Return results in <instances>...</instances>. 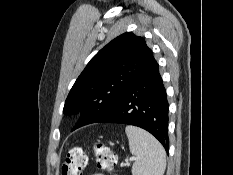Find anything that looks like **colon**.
<instances>
[{"label": "colon", "instance_id": "colon-1", "mask_svg": "<svg viewBox=\"0 0 233 175\" xmlns=\"http://www.w3.org/2000/svg\"><path fill=\"white\" fill-rule=\"evenodd\" d=\"M97 158V165L100 169L112 171L116 166L115 154L102 142L93 145ZM87 152L84 147L76 146L71 148L61 167V175H82L87 165Z\"/></svg>", "mask_w": 233, "mask_h": 175}]
</instances>
